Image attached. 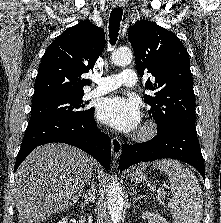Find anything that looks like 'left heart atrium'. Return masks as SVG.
I'll return each instance as SVG.
<instances>
[{
  "instance_id": "obj_1",
  "label": "left heart atrium",
  "mask_w": 221,
  "mask_h": 223,
  "mask_svg": "<svg viewBox=\"0 0 221 223\" xmlns=\"http://www.w3.org/2000/svg\"><path fill=\"white\" fill-rule=\"evenodd\" d=\"M97 119L115 130L128 133L140 125L141 111L136 100L115 95L102 100Z\"/></svg>"
}]
</instances>
